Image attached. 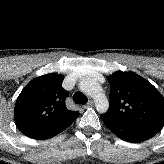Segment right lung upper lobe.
Here are the masks:
<instances>
[{"label": "right lung upper lobe", "instance_id": "right-lung-upper-lobe-1", "mask_svg": "<svg viewBox=\"0 0 164 164\" xmlns=\"http://www.w3.org/2000/svg\"><path fill=\"white\" fill-rule=\"evenodd\" d=\"M64 77L50 73L33 79L22 90L15 104L14 120L26 136L53 127L79 112L67 109L68 93L62 88Z\"/></svg>", "mask_w": 164, "mask_h": 164}]
</instances>
